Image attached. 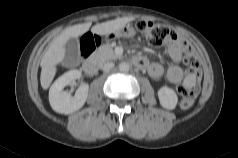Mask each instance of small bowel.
<instances>
[{
	"instance_id": "1",
	"label": "small bowel",
	"mask_w": 238,
	"mask_h": 158,
	"mask_svg": "<svg viewBox=\"0 0 238 158\" xmlns=\"http://www.w3.org/2000/svg\"><path fill=\"white\" fill-rule=\"evenodd\" d=\"M187 42L180 36L175 35L166 41V50L173 64L167 69L160 63H147L146 67L149 75L154 79H159L166 75L167 79L174 84H179L183 79V70L179 66L182 56L187 48Z\"/></svg>"
}]
</instances>
